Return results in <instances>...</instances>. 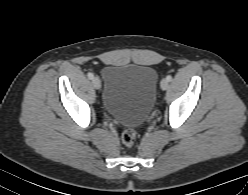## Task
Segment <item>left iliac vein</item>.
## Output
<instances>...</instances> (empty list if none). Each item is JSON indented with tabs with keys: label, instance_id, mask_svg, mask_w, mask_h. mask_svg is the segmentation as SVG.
<instances>
[{
	"label": "left iliac vein",
	"instance_id": "obj_1",
	"mask_svg": "<svg viewBox=\"0 0 248 195\" xmlns=\"http://www.w3.org/2000/svg\"><path fill=\"white\" fill-rule=\"evenodd\" d=\"M169 81L167 79H162L160 82V87L163 90H166L168 88Z\"/></svg>",
	"mask_w": 248,
	"mask_h": 195
}]
</instances>
